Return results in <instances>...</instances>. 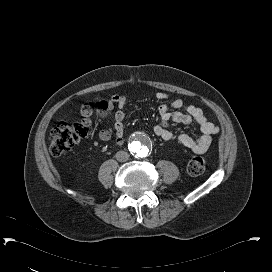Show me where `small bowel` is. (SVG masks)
I'll return each mask as SVG.
<instances>
[{"label":"small bowel","instance_id":"small-bowel-1","mask_svg":"<svg viewBox=\"0 0 272 272\" xmlns=\"http://www.w3.org/2000/svg\"><path fill=\"white\" fill-rule=\"evenodd\" d=\"M158 100H165L169 98V94L165 92H159L156 95ZM127 97L124 95H113L109 99L110 105H116L117 110L114 114L113 132L115 142L118 145L124 143L125 134L123 121L125 118L123 109L127 104ZM170 107L176 111L170 110ZM182 107V101L179 98H174L169 105L162 104L159 107V113L162 122L154 127V134L166 141L177 140L179 143L190 149L193 153L201 154L205 152L211 142V135L218 131V128L210 121H208L203 110L194 105L188 104L184 112L178 111ZM193 120L197 122L200 128L201 136L196 138L188 134H174L171 129V123H180L183 125H189ZM112 130L106 128L100 132V138L104 141H108L111 138Z\"/></svg>","mask_w":272,"mask_h":272}]
</instances>
